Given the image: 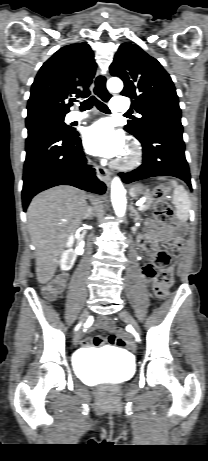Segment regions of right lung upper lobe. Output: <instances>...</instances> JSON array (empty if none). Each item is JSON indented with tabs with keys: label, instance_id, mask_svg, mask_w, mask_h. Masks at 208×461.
Returning <instances> with one entry per match:
<instances>
[{
	"label": "right lung upper lobe",
	"instance_id": "1",
	"mask_svg": "<svg viewBox=\"0 0 208 461\" xmlns=\"http://www.w3.org/2000/svg\"><path fill=\"white\" fill-rule=\"evenodd\" d=\"M95 70L94 54L88 44L74 43L59 49L38 71L31 87L27 117H65L70 111V97L90 95Z\"/></svg>",
	"mask_w": 208,
	"mask_h": 461
}]
</instances>
